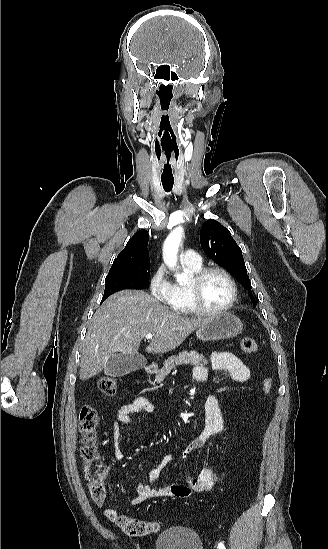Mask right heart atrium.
Instances as JSON below:
<instances>
[{
	"instance_id": "obj_1",
	"label": "right heart atrium",
	"mask_w": 328,
	"mask_h": 549,
	"mask_svg": "<svg viewBox=\"0 0 328 549\" xmlns=\"http://www.w3.org/2000/svg\"><path fill=\"white\" fill-rule=\"evenodd\" d=\"M170 280L163 263L156 265L148 280V303H163L170 290Z\"/></svg>"
}]
</instances>
